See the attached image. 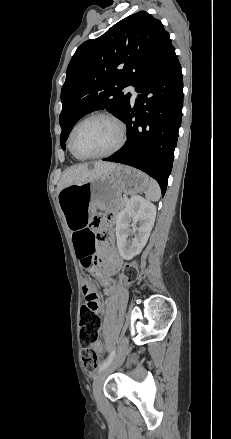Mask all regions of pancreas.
Here are the masks:
<instances>
[{
  "mask_svg": "<svg viewBox=\"0 0 231 439\" xmlns=\"http://www.w3.org/2000/svg\"><path fill=\"white\" fill-rule=\"evenodd\" d=\"M126 204V200L125 199H119L118 203H117V207L120 209L122 208L124 205Z\"/></svg>",
  "mask_w": 231,
  "mask_h": 439,
  "instance_id": "pancreas-1",
  "label": "pancreas"
}]
</instances>
